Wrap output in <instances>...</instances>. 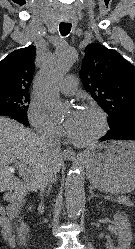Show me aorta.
Instances as JSON below:
<instances>
[{"label": "aorta", "instance_id": "1", "mask_svg": "<svg viewBox=\"0 0 135 249\" xmlns=\"http://www.w3.org/2000/svg\"><path fill=\"white\" fill-rule=\"evenodd\" d=\"M76 58L75 50L63 47L43 66L37 77L38 98L53 114H61L62 102L58 84L70 70ZM84 199V175L80 167L73 166L65 180V201L71 218L80 214Z\"/></svg>", "mask_w": 135, "mask_h": 249}]
</instances>
